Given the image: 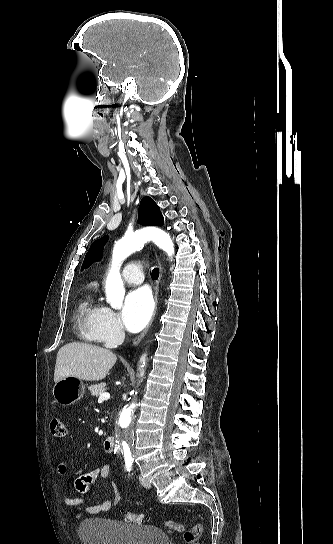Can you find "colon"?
Instances as JSON below:
<instances>
[{
  "instance_id": "colon-1",
  "label": "colon",
  "mask_w": 333,
  "mask_h": 544,
  "mask_svg": "<svg viewBox=\"0 0 333 544\" xmlns=\"http://www.w3.org/2000/svg\"><path fill=\"white\" fill-rule=\"evenodd\" d=\"M50 430L51 434L56 438H65L68 435L66 425L58 418H53L51 420ZM121 515L123 519L128 522L136 524H143L146 522V518L142 514L122 511ZM162 525L168 532L183 533L184 540L187 544H198L202 534V526L199 523L186 525L175 521L165 520Z\"/></svg>"
}]
</instances>
